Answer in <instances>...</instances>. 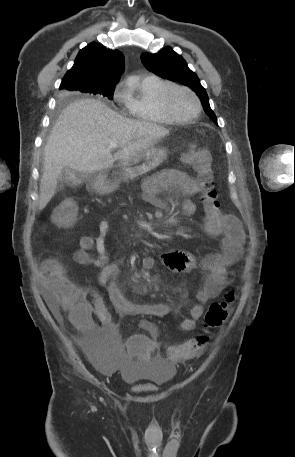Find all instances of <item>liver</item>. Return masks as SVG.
<instances>
[{
  "label": "liver",
  "mask_w": 295,
  "mask_h": 457,
  "mask_svg": "<svg viewBox=\"0 0 295 457\" xmlns=\"http://www.w3.org/2000/svg\"><path fill=\"white\" fill-rule=\"evenodd\" d=\"M168 134L157 124L124 118L98 100L73 101L60 114L45 145L39 210L54 196L64 167L82 173L102 171L152 147ZM114 141L120 150L112 155L108 147Z\"/></svg>",
  "instance_id": "liver-1"
}]
</instances>
